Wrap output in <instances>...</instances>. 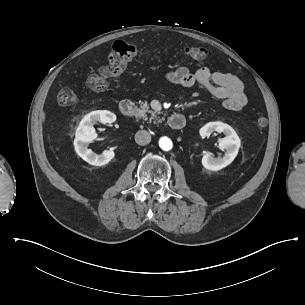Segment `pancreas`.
Listing matches in <instances>:
<instances>
[{"instance_id":"pancreas-1","label":"pancreas","mask_w":305,"mask_h":305,"mask_svg":"<svg viewBox=\"0 0 305 305\" xmlns=\"http://www.w3.org/2000/svg\"><path fill=\"white\" fill-rule=\"evenodd\" d=\"M146 113H150L151 117L148 118ZM135 115H136V117L143 118L144 120L149 119V121H152L153 119H156L157 121H154V123H157V122L161 123L162 122L161 119H158L156 112H154L152 110H149V106H148L147 103H141L140 104V109H137V112H136Z\"/></svg>"}]
</instances>
